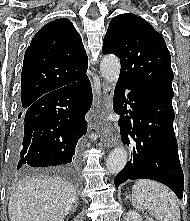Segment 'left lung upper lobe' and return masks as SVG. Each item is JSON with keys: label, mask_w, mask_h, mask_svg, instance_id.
<instances>
[{"label": "left lung upper lobe", "mask_w": 190, "mask_h": 221, "mask_svg": "<svg viewBox=\"0 0 190 221\" xmlns=\"http://www.w3.org/2000/svg\"><path fill=\"white\" fill-rule=\"evenodd\" d=\"M102 52L119 57L118 80L174 96L169 50L162 35L144 19L130 13L115 16L105 35Z\"/></svg>", "instance_id": "5c2ea615"}]
</instances>
